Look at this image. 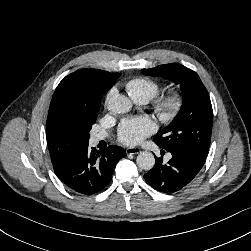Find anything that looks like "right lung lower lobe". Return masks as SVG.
Instances as JSON below:
<instances>
[{
	"label": "right lung lower lobe",
	"mask_w": 251,
	"mask_h": 251,
	"mask_svg": "<svg viewBox=\"0 0 251 251\" xmlns=\"http://www.w3.org/2000/svg\"><path fill=\"white\" fill-rule=\"evenodd\" d=\"M126 156L123 148L111 145L100 152L88 143L76 149L54 170L73 191L91 195L103 190L111 181L117 162Z\"/></svg>",
	"instance_id": "obj_1"
}]
</instances>
